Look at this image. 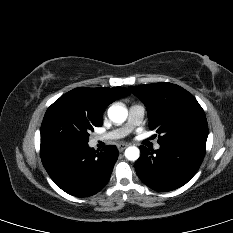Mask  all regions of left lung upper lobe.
Instances as JSON below:
<instances>
[{
	"mask_svg": "<svg viewBox=\"0 0 233 233\" xmlns=\"http://www.w3.org/2000/svg\"><path fill=\"white\" fill-rule=\"evenodd\" d=\"M129 89L145 104L149 128L161 135L158 139L160 145L183 141L206 143L208 125L205 113L188 91L164 82Z\"/></svg>",
	"mask_w": 233,
	"mask_h": 233,
	"instance_id": "1",
	"label": "left lung upper lobe"
}]
</instances>
